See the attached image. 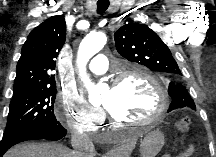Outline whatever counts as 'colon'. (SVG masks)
Segmentation results:
<instances>
[{"mask_svg":"<svg viewBox=\"0 0 216 157\" xmlns=\"http://www.w3.org/2000/svg\"><path fill=\"white\" fill-rule=\"evenodd\" d=\"M191 125V118L189 116L181 117L176 122V128L180 134H185Z\"/></svg>","mask_w":216,"mask_h":157,"instance_id":"5ec220e1","label":"colon"}]
</instances>
